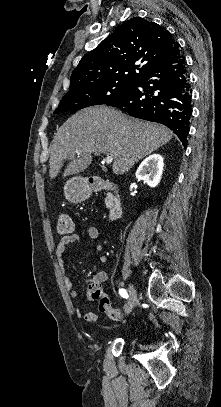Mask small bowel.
Instances as JSON below:
<instances>
[{
  "instance_id": "small-bowel-1",
  "label": "small bowel",
  "mask_w": 221,
  "mask_h": 407,
  "mask_svg": "<svg viewBox=\"0 0 221 407\" xmlns=\"http://www.w3.org/2000/svg\"><path fill=\"white\" fill-rule=\"evenodd\" d=\"M86 233L88 237L92 240H98L100 238V232L99 230L94 227L90 226L87 228ZM80 239V233L78 231H73L70 235L63 236L56 248V256L58 259V265L61 273V278L62 282L69 292V295L71 298L75 299L77 297V291L73 288L72 282L70 281L69 277L66 274L65 267H64V257L67 253V247L71 244H74ZM96 249L98 251H102V246L97 245ZM100 261L105 262L106 257L104 255L100 256ZM108 278V273L106 271H99L93 274L92 277H83V281L86 284H90L91 282H98L102 284L104 281H106ZM89 290V289H88ZM87 299L89 301H95V300H90L88 296V291H87ZM75 313L78 318L86 321V322H93L97 320V314L94 312H84L81 308H76Z\"/></svg>"
}]
</instances>
